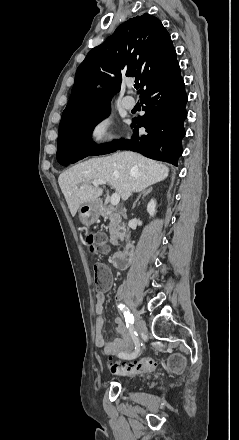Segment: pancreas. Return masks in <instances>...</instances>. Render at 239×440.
Segmentation results:
<instances>
[{
    "instance_id": "1",
    "label": "pancreas",
    "mask_w": 239,
    "mask_h": 440,
    "mask_svg": "<svg viewBox=\"0 0 239 440\" xmlns=\"http://www.w3.org/2000/svg\"><path fill=\"white\" fill-rule=\"evenodd\" d=\"M103 210V208H102ZM104 216H108V220H110L109 234H110V244L113 246H119V240H123L124 238V224L121 222L120 214H104Z\"/></svg>"
}]
</instances>
